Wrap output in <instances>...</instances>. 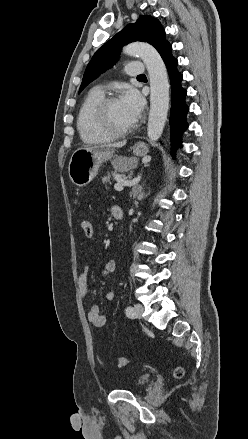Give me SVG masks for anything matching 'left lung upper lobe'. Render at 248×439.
Segmentation results:
<instances>
[{
	"label": "left lung upper lobe",
	"instance_id": "5c2ea615",
	"mask_svg": "<svg viewBox=\"0 0 248 439\" xmlns=\"http://www.w3.org/2000/svg\"><path fill=\"white\" fill-rule=\"evenodd\" d=\"M134 41L147 42L159 53L169 44L157 19L148 15L140 16L136 23L125 26L96 51L86 67L79 92L115 63L124 45Z\"/></svg>",
	"mask_w": 248,
	"mask_h": 439
}]
</instances>
